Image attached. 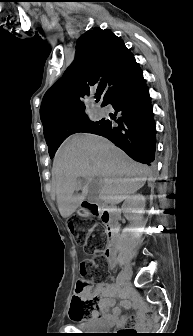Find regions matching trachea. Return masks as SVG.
Returning a JSON list of instances; mask_svg holds the SVG:
<instances>
[{"label":"trachea","mask_w":193,"mask_h":336,"mask_svg":"<svg viewBox=\"0 0 193 336\" xmlns=\"http://www.w3.org/2000/svg\"><path fill=\"white\" fill-rule=\"evenodd\" d=\"M99 99H100V95H97L96 100L99 101Z\"/></svg>","instance_id":"1"}]
</instances>
